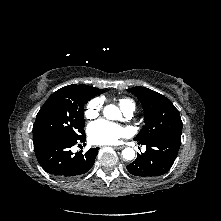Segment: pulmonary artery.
<instances>
[{"instance_id": "pulmonary-artery-1", "label": "pulmonary artery", "mask_w": 221, "mask_h": 221, "mask_svg": "<svg viewBox=\"0 0 221 221\" xmlns=\"http://www.w3.org/2000/svg\"><path fill=\"white\" fill-rule=\"evenodd\" d=\"M134 111V106L132 107H129L128 109L124 110V113L127 115V116H130Z\"/></svg>"}]
</instances>
